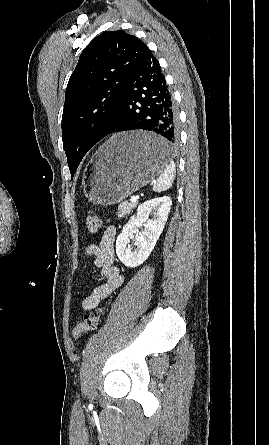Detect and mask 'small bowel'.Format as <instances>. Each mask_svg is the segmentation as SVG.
Returning <instances> with one entry per match:
<instances>
[{
  "mask_svg": "<svg viewBox=\"0 0 269 445\" xmlns=\"http://www.w3.org/2000/svg\"><path fill=\"white\" fill-rule=\"evenodd\" d=\"M115 239L116 229L113 226H109L104 231L98 245L92 244L85 249V256L93 259L97 276L103 283L95 287L92 292L82 300L81 306L84 310L95 309L124 282V276L114 265Z\"/></svg>",
  "mask_w": 269,
  "mask_h": 445,
  "instance_id": "small-bowel-1",
  "label": "small bowel"
}]
</instances>
